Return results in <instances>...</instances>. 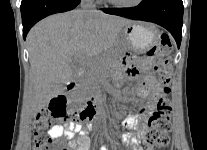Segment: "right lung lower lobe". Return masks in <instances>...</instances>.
<instances>
[{
  "instance_id": "1",
  "label": "right lung lower lobe",
  "mask_w": 207,
  "mask_h": 150,
  "mask_svg": "<svg viewBox=\"0 0 207 150\" xmlns=\"http://www.w3.org/2000/svg\"><path fill=\"white\" fill-rule=\"evenodd\" d=\"M80 0H22L21 15L23 38L30 28L42 18L60 12L74 9Z\"/></svg>"
}]
</instances>
